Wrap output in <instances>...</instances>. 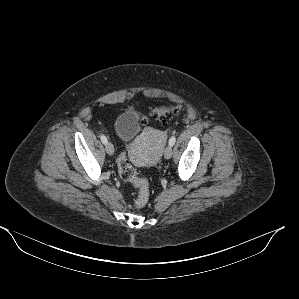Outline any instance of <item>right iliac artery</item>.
Instances as JSON below:
<instances>
[{
	"mask_svg": "<svg viewBox=\"0 0 299 299\" xmlns=\"http://www.w3.org/2000/svg\"><path fill=\"white\" fill-rule=\"evenodd\" d=\"M100 139H101L102 143H104V144L107 143V138L104 135H101Z\"/></svg>",
	"mask_w": 299,
	"mask_h": 299,
	"instance_id": "obj_1",
	"label": "right iliac artery"
}]
</instances>
